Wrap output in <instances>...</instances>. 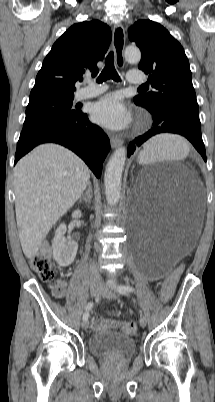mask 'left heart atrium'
I'll return each instance as SVG.
<instances>
[{
  "label": "left heart atrium",
  "instance_id": "1",
  "mask_svg": "<svg viewBox=\"0 0 215 402\" xmlns=\"http://www.w3.org/2000/svg\"><path fill=\"white\" fill-rule=\"evenodd\" d=\"M92 118L102 126L119 130L129 124L130 113L117 95L109 94L94 104Z\"/></svg>",
  "mask_w": 215,
  "mask_h": 402
}]
</instances>
